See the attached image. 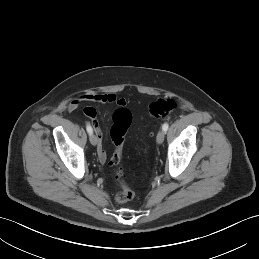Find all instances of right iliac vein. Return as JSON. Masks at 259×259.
Masks as SVG:
<instances>
[{"label":"right iliac vein","mask_w":259,"mask_h":259,"mask_svg":"<svg viewBox=\"0 0 259 259\" xmlns=\"http://www.w3.org/2000/svg\"><path fill=\"white\" fill-rule=\"evenodd\" d=\"M89 140L93 146L97 145V137L94 134H90Z\"/></svg>","instance_id":"obj_1"}]
</instances>
